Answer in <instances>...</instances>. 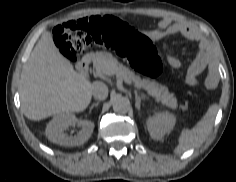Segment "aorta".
Masks as SVG:
<instances>
[{
    "mask_svg": "<svg viewBox=\"0 0 236 182\" xmlns=\"http://www.w3.org/2000/svg\"><path fill=\"white\" fill-rule=\"evenodd\" d=\"M112 105H113V110L119 114L127 113L130 107L127 99L121 96H117L116 98H114Z\"/></svg>",
    "mask_w": 236,
    "mask_h": 182,
    "instance_id": "1",
    "label": "aorta"
}]
</instances>
